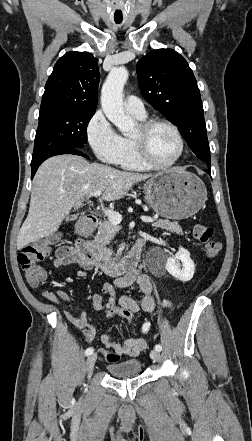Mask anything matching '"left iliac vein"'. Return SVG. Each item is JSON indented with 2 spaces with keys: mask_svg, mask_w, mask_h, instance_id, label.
<instances>
[{
  "mask_svg": "<svg viewBox=\"0 0 252 441\" xmlns=\"http://www.w3.org/2000/svg\"><path fill=\"white\" fill-rule=\"evenodd\" d=\"M150 356L155 362H159L161 359L160 352L157 350H152Z\"/></svg>",
  "mask_w": 252,
  "mask_h": 441,
  "instance_id": "1",
  "label": "left iliac vein"
}]
</instances>
